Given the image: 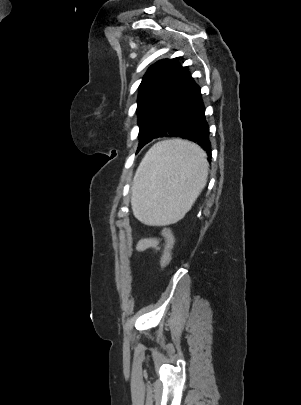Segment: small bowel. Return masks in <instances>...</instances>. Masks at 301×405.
I'll use <instances>...</instances> for the list:
<instances>
[{
    "mask_svg": "<svg viewBox=\"0 0 301 405\" xmlns=\"http://www.w3.org/2000/svg\"><path fill=\"white\" fill-rule=\"evenodd\" d=\"M136 249L139 252H142V251H145L148 249H153V250L158 251L160 249L159 239L156 237L143 238L138 242Z\"/></svg>",
    "mask_w": 301,
    "mask_h": 405,
    "instance_id": "small-bowel-1",
    "label": "small bowel"
}]
</instances>
